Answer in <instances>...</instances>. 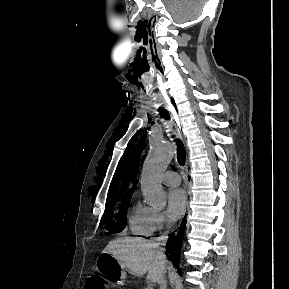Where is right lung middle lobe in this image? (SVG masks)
<instances>
[{
	"label": "right lung middle lobe",
	"instance_id": "obj_1",
	"mask_svg": "<svg viewBox=\"0 0 289 289\" xmlns=\"http://www.w3.org/2000/svg\"><path fill=\"white\" fill-rule=\"evenodd\" d=\"M129 202L130 199L124 201L120 205V212L117 214V216L113 212L115 204H107L99 226L103 227L106 225L110 232L122 231L126 226V209L129 205Z\"/></svg>",
	"mask_w": 289,
	"mask_h": 289
}]
</instances>
